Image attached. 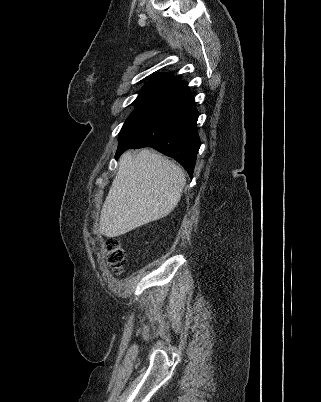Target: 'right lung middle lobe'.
<instances>
[{"label": "right lung middle lobe", "instance_id": "obj_1", "mask_svg": "<svg viewBox=\"0 0 321 402\" xmlns=\"http://www.w3.org/2000/svg\"><path fill=\"white\" fill-rule=\"evenodd\" d=\"M173 87L150 84L145 85L139 92L138 97L134 101L135 109L124 123L119 135L129 126L134 124L142 116L147 114L151 109L159 105L173 91Z\"/></svg>", "mask_w": 321, "mask_h": 402}]
</instances>
